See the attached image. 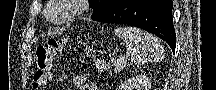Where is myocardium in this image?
<instances>
[{
	"label": "myocardium",
	"mask_w": 216,
	"mask_h": 90,
	"mask_svg": "<svg viewBox=\"0 0 216 90\" xmlns=\"http://www.w3.org/2000/svg\"><path fill=\"white\" fill-rule=\"evenodd\" d=\"M82 3H94V0H52L51 11L47 12V22L53 27H62L71 23L88 10V5ZM63 12L62 16L58 14Z\"/></svg>",
	"instance_id": "f54148a6"
}]
</instances>
